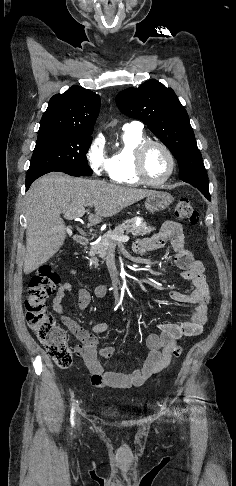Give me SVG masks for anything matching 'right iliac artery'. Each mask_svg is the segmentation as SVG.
<instances>
[{"mask_svg":"<svg viewBox=\"0 0 236 486\" xmlns=\"http://www.w3.org/2000/svg\"><path fill=\"white\" fill-rule=\"evenodd\" d=\"M73 416H74V410L72 409V410H71V424H72V425H74Z\"/></svg>","mask_w":236,"mask_h":486,"instance_id":"obj_1","label":"right iliac artery"}]
</instances>
